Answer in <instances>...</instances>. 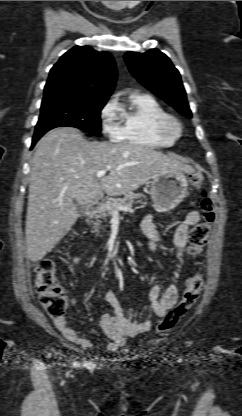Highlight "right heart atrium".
<instances>
[{
  "instance_id": "d8ad5b80",
  "label": "right heart atrium",
  "mask_w": 242,
  "mask_h": 416,
  "mask_svg": "<svg viewBox=\"0 0 242 416\" xmlns=\"http://www.w3.org/2000/svg\"><path fill=\"white\" fill-rule=\"evenodd\" d=\"M100 122L104 134L116 138L120 130V117L118 103L115 98H110L102 107L100 111Z\"/></svg>"
}]
</instances>
